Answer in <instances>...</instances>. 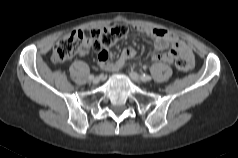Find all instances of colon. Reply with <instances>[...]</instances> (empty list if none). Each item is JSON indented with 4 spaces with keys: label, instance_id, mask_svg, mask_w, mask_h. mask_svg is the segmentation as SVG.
Masks as SVG:
<instances>
[{
    "label": "colon",
    "instance_id": "obj_1",
    "mask_svg": "<svg viewBox=\"0 0 238 158\" xmlns=\"http://www.w3.org/2000/svg\"><path fill=\"white\" fill-rule=\"evenodd\" d=\"M126 32V27L122 25L94 29L88 32L73 31L63 36L55 44L51 60L54 63H63L74 56L84 53L89 47L100 53L125 36ZM176 66L180 71L186 73L192 69L193 63L178 57Z\"/></svg>",
    "mask_w": 238,
    "mask_h": 158
}]
</instances>
